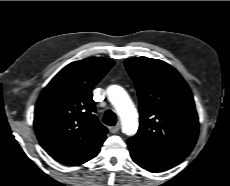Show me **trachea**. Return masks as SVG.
<instances>
[{"label":"trachea","instance_id":"trachea-1","mask_svg":"<svg viewBox=\"0 0 230 186\" xmlns=\"http://www.w3.org/2000/svg\"><path fill=\"white\" fill-rule=\"evenodd\" d=\"M116 121H117V119H116L115 113L111 110H107L104 114L103 122L106 125L113 126L116 124Z\"/></svg>","mask_w":230,"mask_h":186}]
</instances>
